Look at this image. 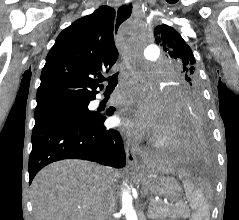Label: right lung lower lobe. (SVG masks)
I'll return each mask as SVG.
<instances>
[{"instance_id": "98d812e1", "label": "right lung lower lobe", "mask_w": 239, "mask_h": 220, "mask_svg": "<svg viewBox=\"0 0 239 220\" xmlns=\"http://www.w3.org/2000/svg\"><path fill=\"white\" fill-rule=\"evenodd\" d=\"M114 108L107 112L112 115ZM105 117L98 115L92 123L63 120H39L32 132L29 157V183L49 163L62 159H84L122 168L126 156L118 131L106 129Z\"/></svg>"}]
</instances>
